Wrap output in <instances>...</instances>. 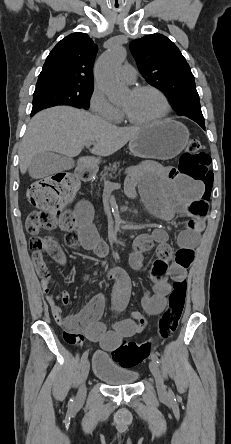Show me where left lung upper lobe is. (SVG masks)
Wrapping results in <instances>:
<instances>
[{
    "label": "left lung upper lobe",
    "instance_id": "obj_1",
    "mask_svg": "<svg viewBox=\"0 0 231 444\" xmlns=\"http://www.w3.org/2000/svg\"><path fill=\"white\" fill-rule=\"evenodd\" d=\"M130 50L145 80L166 93L179 115L204 121L194 76L172 41L151 34L131 41Z\"/></svg>",
    "mask_w": 231,
    "mask_h": 444
}]
</instances>
